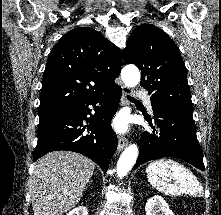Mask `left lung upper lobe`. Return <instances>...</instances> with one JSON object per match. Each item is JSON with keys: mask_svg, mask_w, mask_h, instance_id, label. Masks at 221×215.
Listing matches in <instances>:
<instances>
[{"mask_svg": "<svg viewBox=\"0 0 221 215\" xmlns=\"http://www.w3.org/2000/svg\"><path fill=\"white\" fill-rule=\"evenodd\" d=\"M126 45L123 60L141 70V86L151 95V103L192 111L185 64L174 41L160 28L142 24Z\"/></svg>", "mask_w": 221, "mask_h": 215, "instance_id": "left-lung-upper-lobe-1", "label": "left lung upper lobe"}]
</instances>
